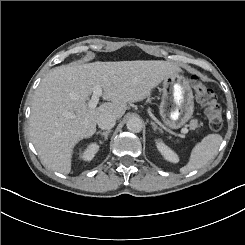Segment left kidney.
I'll use <instances>...</instances> for the list:
<instances>
[{"label":"left kidney","mask_w":245,"mask_h":245,"mask_svg":"<svg viewBox=\"0 0 245 245\" xmlns=\"http://www.w3.org/2000/svg\"><path fill=\"white\" fill-rule=\"evenodd\" d=\"M155 142L157 149L167 161L172 163L179 162L178 155L174 151H172L167 145H165L162 139H156Z\"/></svg>","instance_id":"5707ae66"}]
</instances>
